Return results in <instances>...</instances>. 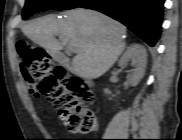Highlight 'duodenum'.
Returning a JSON list of instances; mask_svg holds the SVG:
<instances>
[{
  "instance_id": "410a0bca",
  "label": "duodenum",
  "mask_w": 182,
  "mask_h": 140,
  "mask_svg": "<svg viewBox=\"0 0 182 140\" xmlns=\"http://www.w3.org/2000/svg\"><path fill=\"white\" fill-rule=\"evenodd\" d=\"M55 56H57V58L60 60L61 63H63V64L66 65V66H69V62L67 61L66 58H64V57L61 56V55H57V54H55Z\"/></svg>"
}]
</instances>
